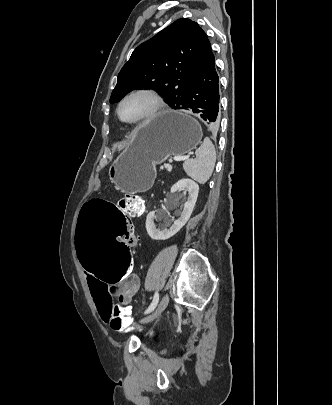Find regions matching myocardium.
Returning <instances> with one entry per match:
<instances>
[{
    "label": "myocardium",
    "instance_id": "1",
    "mask_svg": "<svg viewBox=\"0 0 332 405\" xmlns=\"http://www.w3.org/2000/svg\"><path fill=\"white\" fill-rule=\"evenodd\" d=\"M136 95H145V96H148L149 98H151V100L153 102L152 108L150 109V111L147 114H145L144 116H142L138 119L126 120L121 115V107L127 99H129L133 96H136ZM163 107H164V101H163L161 95L157 91H155L154 89H151V88H137V89H134V90L128 92L119 101L118 106H117V116L120 119V121H122L125 124L138 125V124H142V123H145L147 121L154 119L162 111Z\"/></svg>",
    "mask_w": 332,
    "mask_h": 405
}]
</instances>
